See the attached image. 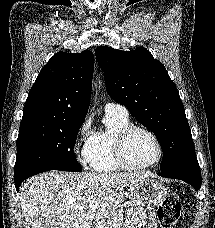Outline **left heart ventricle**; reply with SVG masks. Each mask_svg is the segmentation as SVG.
<instances>
[{
	"label": "left heart ventricle",
	"instance_id": "left-heart-ventricle-1",
	"mask_svg": "<svg viewBox=\"0 0 215 228\" xmlns=\"http://www.w3.org/2000/svg\"><path fill=\"white\" fill-rule=\"evenodd\" d=\"M128 161L135 166L152 162L157 155L156 147L150 136L140 130L134 131L125 145Z\"/></svg>",
	"mask_w": 215,
	"mask_h": 228
}]
</instances>
